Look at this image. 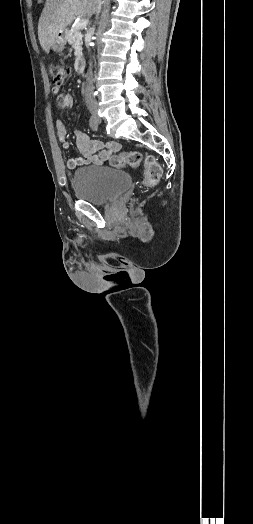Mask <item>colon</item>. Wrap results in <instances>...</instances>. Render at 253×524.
<instances>
[{
    "label": "colon",
    "mask_w": 253,
    "mask_h": 524,
    "mask_svg": "<svg viewBox=\"0 0 253 524\" xmlns=\"http://www.w3.org/2000/svg\"><path fill=\"white\" fill-rule=\"evenodd\" d=\"M49 73L56 84L60 87L65 78L69 75V69L66 66L53 63L49 66ZM142 162V155L138 151L121 152L114 156L112 163L117 168L123 167H138ZM145 173H144V185L152 187L156 185L162 175L163 170L161 165L153 157H147L144 162Z\"/></svg>",
    "instance_id": "5ec220e1"
}]
</instances>
